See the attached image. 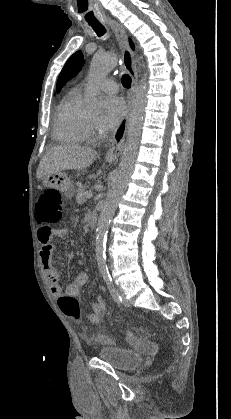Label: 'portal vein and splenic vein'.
<instances>
[{"label": "portal vein and splenic vein", "instance_id": "portal-vein-and-splenic-vein-1", "mask_svg": "<svg viewBox=\"0 0 231 419\" xmlns=\"http://www.w3.org/2000/svg\"><path fill=\"white\" fill-rule=\"evenodd\" d=\"M85 196H86V198H91L92 197V191H86Z\"/></svg>", "mask_w": 231, "mask_h": 419}]
</instances>
